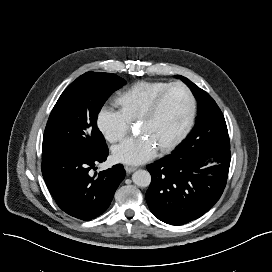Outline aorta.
Masks as SVG:
<instances>
[{
  "mask_svg": "<svg viewBox=\"0 0 272 272\" xmlns=\"http://www.w3.org/2000/svg\"><path fill=\"white\" fill-rule=\"evenodd\" d=\"M132 181L138 187L144 188L150 185L151 175L147 170H137L132 175Z\"/></svg>",
  "mask_w": 272,
  "mask_h": 272,
  "instance_id": "obj_1",
  "label": "aorta"
}]
</instances>
